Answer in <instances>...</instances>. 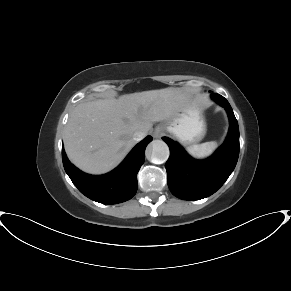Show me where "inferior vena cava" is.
Returning <instances> with one entry per match:
<instances>
[{"label":"inferior vena cava","instance_id":"obj_1","mask_svg":"<svg viewBox=\"0 0 291 291\" xmlns=\"http://www.w3.org/2000/svg\"><path fill=\"white\" fill-rule=\"evenodd\" d=\"M145 137H146V133L143 131H137L133 134V140L136 142L141 141Z\"/></svg>","mask_w":291,"mask_h":291}]
</instances>
